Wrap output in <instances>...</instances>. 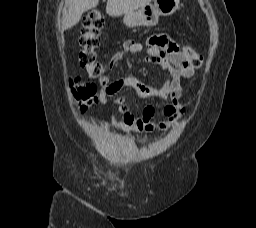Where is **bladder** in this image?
Returning <instances> with one entry per match:
<instances>
[{"mask_svg": "<svg viewBox=\"0 0 256 228\" xmlns=\"http://www.w3.org/2000/svg\"><path fill=\"white\" fill-rule=\"evenodd\" d=\"M118 147V144H116V140H111L110 141V148L111 149H116Z\"/></svg>", "mask_w": 256, "mask_h": 228, "instance_id": "31cf9c89", "label": "bladder"}]
</instances>
